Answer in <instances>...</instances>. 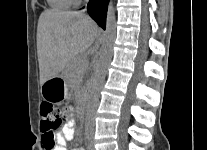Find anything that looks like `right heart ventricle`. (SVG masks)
Wrapping results in <instances>:
<instances>
[{
	"mask_svg": "<svg viewBox=\"0 0 207 150\" xmlns=\"http://www.w3.org/2000/svg\"><path fill=\"white\" fill-rule=\"evenodd\" d=\"M54 10H67L74 6L78 0H47Z\"/></svg>",
	"mask_w": 207,
	"mask_h": 150,
	"instance_id": "e07e8e85",
	"label": "right heart ventricle"
}]
</instances>
